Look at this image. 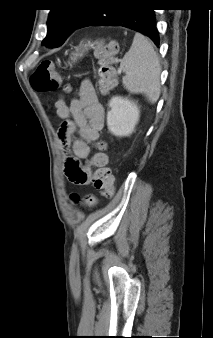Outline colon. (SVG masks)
Here are the masks:
<instances>
[{"label":"colon","mask_w":213,"mask_h":338,"mask_svg":"<svg viewBox=\"0 0 213 338\" xmlns=\"http://www.w3.org/2000/svg\"><path fill=\"white\" fill-rule=\"evenodd\" d=\"M93 49L97 58L96 72L99 90L101 92L109 91L116 85V61L119 58V46L115 42L98 38L93 41ZM30 84L38 93L57 91L60 87V76L54 63L49 60L41 62L31 75ZM65 90L69 92L70 88L66 87ZM62 126L72 127L69 122H64ZM105 148L106 143L99 141L97 151L89 160L88 165L94 168L93 184L95 189L103 195H111L114 191V176L110 168L107 167L108 157ZM65 165V173L70 180H73L77 173L85 170V166L79 160L68 159ZM73 200L85 206L95 204V197L92 195L81 197L74 194Z\"/></svg>","instance_id":"colon-1"}]
</instances>
